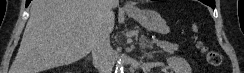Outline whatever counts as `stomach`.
I'll list each match as a JSON object with an SVG mask.
<instances>
[{"mask_svg":"<svg viewBox=\"0 0 244 73\" xmlns=\"http://www.w3.org/2000/svg\"><path fill=\"white\" fill-rule=\"evenodd\" d=\"M127 14L148 31L163 35L170 32L166 20L156 11L135 9L127 11Z\"/></svg>","mask_w":244,"mask_h":73,"instance_id":"stomach-1","label":"stomach"}]
</instances>
